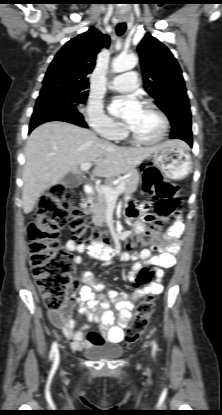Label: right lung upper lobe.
<instances>
[{
  "instance_id": "cb5924a9",
  "label": "right lung upper lobe",
  "mask_w": 222,
  "mask_h": 415,
  "mask_svg": "<svg viewBox=\"0 0 222 415\" xmlns=\"http://www.w3.org/2000/svg\"><path fill=\"white\" fill-rule=\"evenodd\" d=\"M109 43V36L93 27L68 41L51 62L42 89L60 87L87 92L88 75L94 69L96 56Z\"/></svg>"
}]
</instances>
